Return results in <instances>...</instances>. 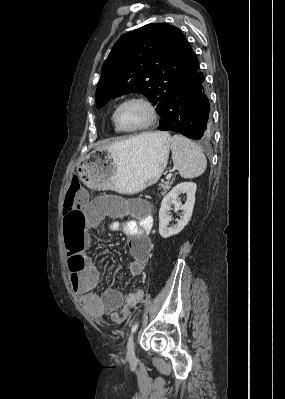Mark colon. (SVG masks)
I'll return each mask as SVG.
<instances>
[{
  "instance_id": "colon-1",
  "label": "colon",
  "mask_w": 285,
  "mask_h": 399,
  "mask_svg": "<svg viewBox=\"0 0 285 399\" xmlns=\"http://www.w3.org/2000/svg\"><path fill=\"white\" fill-rule=\"evenodd\" d=\"M81 193L82 184L78 179H73L64 202L65 220L70 227H74L81 223L84 218L78 208ZM65 241L68 249L69 269L72 273H77L86 265L87 252L83 244L76 240L74 234L70 230L65 233ZM131 309L132 305L130 303L125 304L122 310L118 312L113 319L116 321L125 319L131 312Z\"/></svg>"
}]
</instances>
